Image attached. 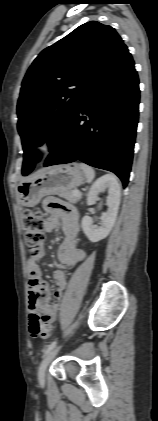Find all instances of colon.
Masks as SVG:
<instances>
[{"mask_svg":"<svg viewBox=\"0 0 158 421\" xmlns=\"http://www.w3.org/2000/svg\"><path fill=\"white\" fill-rule=\"evenodd\" d=\"M22 223L25 242L32 256L45 239L44 230L46 228V220L42 212L25 209ZM34 332L35 336L48 337L51 333V326L43 324Z\"/></svg>","mask_w":158,"mask_h":421,"instance_id":"colon-1","label":"colon"}]
</instances>
